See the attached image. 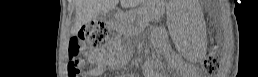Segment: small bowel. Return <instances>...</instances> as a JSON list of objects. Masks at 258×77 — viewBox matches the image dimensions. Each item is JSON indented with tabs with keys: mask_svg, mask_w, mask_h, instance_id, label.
I'll return each mask as SVG.
<instances>
[{
	"mask_svg": "<svg viewBox=\"0 0 258 77\" xmlns=\"http://www.w3.org/2000/svg\"><path fill=\"white\" fill-rule=\"evenodd\" d=\"M111 57H112L111 53L94 54L92 56V59L95 61V68L92 71V73L96 74L104 71L109 66L111 62Z\"/></svg>",
	"mask_w": 258,
	"mask_h": 77,
	"instance_id": "obj_1",
	"label": "small bowel"
}]
</instances>
